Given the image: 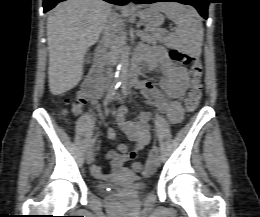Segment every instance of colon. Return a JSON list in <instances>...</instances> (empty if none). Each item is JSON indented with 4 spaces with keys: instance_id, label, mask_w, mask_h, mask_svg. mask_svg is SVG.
<instances>
[{
    "instance_id": "5ec220e1",
    "label": "colon",
    "mask_w": 260,
    "mask_h": 217,
    "mask_svg": "<svg viewBox=\"0 0 260 217\" xmlns=\"http://www.w3.org/2000/svg\"><path fill=\"white\" fill-rule=\"evenodd\" d=\"M170 57L177 64H191V89L186 103V110L189 113L194 112L198 108L201 99V78L203 74L202 63L198 57L189 55L179 50H172L170 52ZM64 102L68 104L69 99H65ZM133 169L138 173H142L144 171L143 165L139 162H135L133 164Z\"/></svg>"
}]
</instances>
